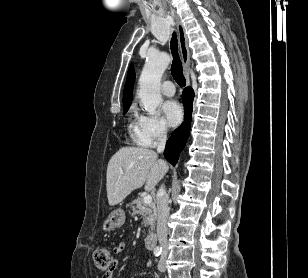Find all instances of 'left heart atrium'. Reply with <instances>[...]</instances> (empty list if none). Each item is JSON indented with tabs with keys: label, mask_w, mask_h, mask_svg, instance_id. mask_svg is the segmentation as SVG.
Here are the masks:
<instances>
[{
	"label": "left heart atrium",
	"mask_w": 308,
	"mask_h": 278,
	"mask_svg": "<svg viewBox=\"0 0 308 278\" xmlns=\"http://www.w3.org/2000/svg\"><path fill=\"white\" fill-rule=\"evenodd\" d=\"M162 113L166 124L170 127L178 126L183 118V110L177 101L170 100L162 105Z\"/></svg>",
	"instance_id": "39dd6f15"
}]
</instances>
